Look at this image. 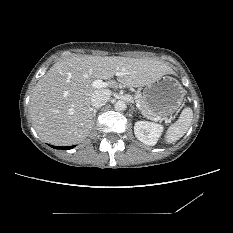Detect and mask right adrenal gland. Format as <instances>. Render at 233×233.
<instances>
[{"label": "right adrenal gland", "instance_id": "1", "mask_svg": "<svg viewBox=\"0 0 233 233\" xmlns=\"http://www.w3.org/2000/svg\"><path fill=\"white\" fill-rule=\"evenodd\" d=\"M98 109H99V108L93 109V117H94V119H95V117H96V112L98 111Z\"/></svg>", "mask_w": 233, "mask_h": 233}]
</instances>
